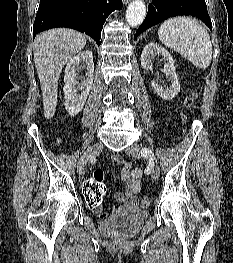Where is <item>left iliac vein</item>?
<instances>
[{
	"instance_id": "left-iliac-vein-1",
	"label": "left iliac vein",
	"mask_w": 233,
	"mask_h": 263,
	"mask_svg": "<svg viewBox=\"0 0 233 263\" xmlns=\"http://www.w3.org/2000/svg\"><path fill=\"white\" fill-rule=\"evenodd\" d=\"M142 147L138 144H133L126 149V154L131 157L140 158L142 156ZM151 162V174L154 180H158L160 176V169L157 164L150 158Z\"/></svg>"
}]
</instances>
